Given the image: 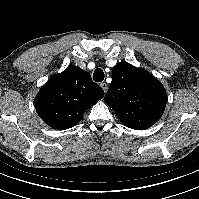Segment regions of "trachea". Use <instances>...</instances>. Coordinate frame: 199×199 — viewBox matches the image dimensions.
I'll list each match as a JSON object with an SVG mask.
<instances>
[{
    "label": "trachea",
    "instance_id": "trachea-1",
    "mask_svg": "<svg viewBox=\"0 0 199 199\" xmlns=\"http://www.w3.org/2000/svg\"><path fill=\"white\" fill-rule=\"evenodd\" d=\"M93 80L95 82H102L104 80V72L101 68H97L93 73Z\"/></svg>",
    "mask_w": 199,
    "mask_h": 199
}]
</instances>
